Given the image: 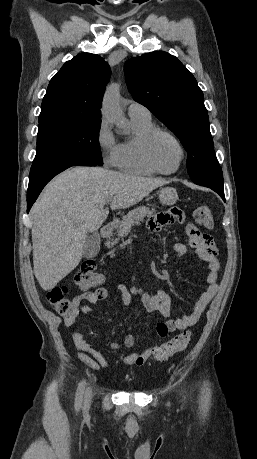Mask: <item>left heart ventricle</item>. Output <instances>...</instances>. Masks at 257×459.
Here are the masks:
<instances>
[{
    "mask_svg": "<svg viewBox=\"0 0 257 459\" xmlns=\"http://www.w3.org/2000/svg\"><path fill=\"white\" fill-rule=\"evenodd\" d=\"M153 157L161 169L171 171L177 167L181 153L171 138L161 135L153 144Z\"/></svg>",
    "mask_w": 257,
    "mask_h": 459,
    "instance_id": "b2bd125f",
    "label": "left heart ventricle"
}]
</instances>
